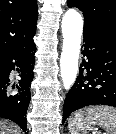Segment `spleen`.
Listing matches in <instances>:
<instances>
[{
    "instance_id": "obj_1",
    "label": "spleen",
    "mask_w": 116,
    "mask_h": 134,
    "mask_svg": "<svg viewBox=\"0 0 116 134\" xmlns=\"http://www.w3.org/2000/svg\"><path fill=\"white\" fill-rule=\"evenodd\" d=\"M91 125H101L108 134H116V109L108 106H92L75 112L68 122L71 134L84 133Z\"/></svg>"
}]
</instances>
